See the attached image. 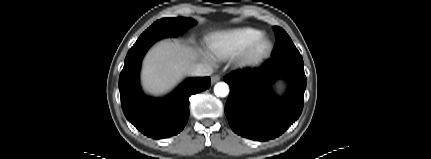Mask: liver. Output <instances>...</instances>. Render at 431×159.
<instances>
[{"instance_id":"1","label":"liver","mask_w":431,"mask_h":159,"mask_svg":"<svg viewBox=\"0 0 431 159\" xmlns=\"http://www.w3.org/2000/svg\"><path fill=\"white\" fill-rule=\"evenodd\" d=\"M200 61V53L178 41H161L147 53L142 69V85L153 95H161L189 75Z\"/></svg>"}]
</instances>
